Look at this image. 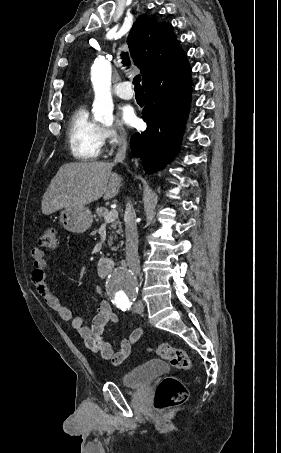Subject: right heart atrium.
<instances>
[{
    "instance_id": "d8ad5b80",
    "label": "right heart atrium",
    "mask_w": 281,
    "mask_h": 453,
    "mask_svg": "<svg viewBox=\"0 0 281 453\" xmlns=\"http://www.w3.org/2000/svg\"><path fill=\"white\" fill-rule=\"evenodd\" d=\"M104 134L111 146H118L126 138V131L119 124L104 127Z\"/></svg>"
}]
</instances>
